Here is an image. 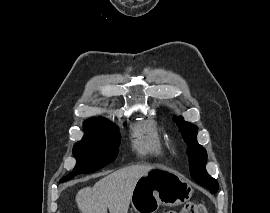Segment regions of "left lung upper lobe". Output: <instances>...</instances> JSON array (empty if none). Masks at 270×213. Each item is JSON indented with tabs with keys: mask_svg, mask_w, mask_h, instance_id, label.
Listing matches in <instances>:
<instances>
[{
	"mask_svg": "<svg viewBox=\"0 0 270 213\" xmlns=\"http://www.w3.org/2000/svg\"><path fill=\"white\" fill-rule=\"evenodd\" d=\"M176 122L183 133L184 141L189 146L187 153L189 156L191 177L197 183L208 188L212 193H215L218 190V183L206 171L207 153L197 142V126L185 122L182 117L176 119Z\"/></svg>",
	"mask_w": 270,
	"mask_h": 213,
	"instance_id": "obj_1",
	"label": "left lung upper lobe"
}]
</instances>
